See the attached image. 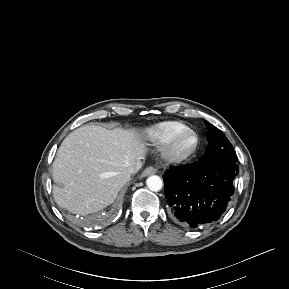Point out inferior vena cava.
Segmentation results:
<instances>
[{
  "label": "inferior vena cava",
  "instance_id": "obj_1",
  "mask_svg": "<svg viewBox=\"0 0 289 289\" xmlns=\"http://www.w3.org/2000/svg\"><path fill=\"white\" fill-rule=\"evenodd\" d=\"M136 172H137V169H136L135 167H133V166L128 167V168L124 171L125 175L128 176V177H130L132 174H134V173H136Z\"/></svg>",
  "mask_w": 289,
  "mask_h": 289
}]
</instances>
